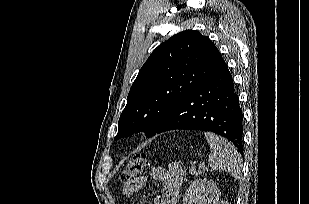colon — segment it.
<instances>
[{"mask_svg": "<svg viewBox=\"0 0 309 204\" xmlns=\"http://www.w3.org/2000/svg\"><path fill=\"white\" fill-rule=\"evenodd\" d=\"M149 166V159L146 153L134 156L128 161L125 169L121 172L120 180L127 184L142 174Z\"/></svg>", "mask_w": 309, "mask_h": 204, "instance_id": "colon-1", "label": "colon"}]
</instances>
